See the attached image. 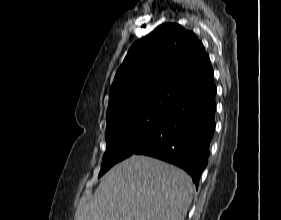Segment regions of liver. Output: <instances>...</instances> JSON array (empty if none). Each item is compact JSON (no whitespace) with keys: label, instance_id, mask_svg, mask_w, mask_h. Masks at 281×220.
Returning <instances> with one entry per match:
<instances>
[{"label":"liver","instance_id":"obj_1","mask_svg":"<svg viewBox=\"0 0 281 220\" xmlns=\"http://www.w3.org/2000/svg\"><path fill=\"white\" fill-rule=\"evenodd\" d=\"M193 192L192 179L182 169L133 155L102 177L75 220H184Z\"/></svg>","mask_w":281,"mask_h":220}]
</instances>
